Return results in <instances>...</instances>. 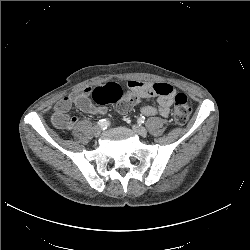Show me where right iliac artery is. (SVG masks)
Masks as SVG:
<instances>
[{
	"mask_svg": "<svg viewBox=\"0 0 250 250\" xmlns=\"http://www.w3.org/2000/svg\"><path fill=\"white\" fill-rule=\"evenodd\" d=\"M98 125L101 126V128L105 129L109 125V121H107L106 119L99 120Z\"/></svg>",
	"mask_w": 250,
	"mask_h": 250,
	"instance_id": "right-iliac-artery-1",
	"label": "right iliac artery"
}]
</instances>
